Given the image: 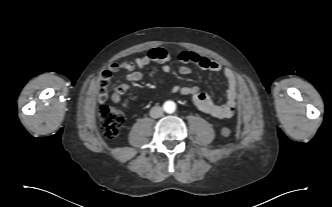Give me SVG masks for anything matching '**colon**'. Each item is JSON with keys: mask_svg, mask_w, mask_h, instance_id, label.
Wrapping results in <instances>:
<instances>
[{"mask_svg": "<svg viewBox=\"0 0 332 207\" xmlns=\"http://www.w3.org/2000/svg\"><path fill=\"white\" fill-rule=\"evenodd\" d=\"M120 94L122 93H119L117 88L116 92L112 96L113 102L119 101ZM100 96L101 100L106 98L104 89L101 90ZM98 116L102 134L109 139L117 137L125 122L124 113L115 107L102 103L98 108ZM221 134L228 137L231 134V129L225 126L222 128Z\"/></svg>", "mask_w": 332, "mask_h": 207, "instance_id": "colon-1", "label": "colon"}]
</instances>
